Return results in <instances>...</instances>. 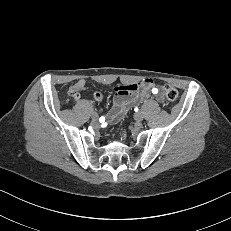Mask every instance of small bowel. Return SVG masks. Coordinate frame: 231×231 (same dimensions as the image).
<instances>
[{
	"label": "small bowel",
	"mask_w": 231,
	"mask_h": 231,
	"mask_svg": "<svg viewBox=\"0 0 231 231\" xmlns=\"http://www.w3.org/2000/svg\"><path fill=\"white\" fill-rule=\"evenodd\" d=\"M153 88V81L151 79L143 80L139 83H128L122 87L116 89V94L113 101V106L108 113V119L111 121L119 120L128 110L131 105H135L148 96V91ZM72 90L79 92L85 91L86 80L79 79L71 87ZM156 99L163 103L164 96L161 91L158 90V94H153ZM104 96L100 91L93 93V99L96 102H101Z\"/></svg>",
	"instance_id": "small-bowel-1"
}]
</instances>
